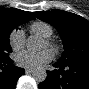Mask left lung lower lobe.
Returning <instances> with one entry per match:
<instances>
[{"instance_id": "1", "label": "left lung lower lobe", "mask_w": 89, "mask_h": 89, "mask_svg": "<svg viewBox=\"0 0 89 89\" xmlns=\"http://www.w3.org/2000/svg\"><path fill=\"white\" fill-rule=\"evenodd\" d=\"M58 70L47 71L46 79L39 89H89V60L70 64H54Z\"/></svg>"}]
</instances>
